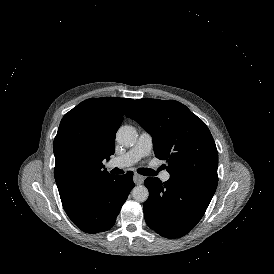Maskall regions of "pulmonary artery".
Masks as SVG:
<instances>
[{
  "instance_id": "obj_1",
  "label": "pulmonary artery",
  "mask_w": 274,
  "mask_h": 274,
  "mask_svg": "<svg viewBox=\"0 0 274 274\" xmlns=\"http://www.w3.org/2000/svg\"><path fill=\"white\" fill-rule=\"evenodd\" d=\"M153 146V140L150 134L146 132H141L136 144L129 149L124 155L120 157H116L111 160L108 164V168H126L129 167L142 158L150 155ZM170 178V174L167 171L162 172L161 180L163 182L168 181Z\"/></svg>"
}]
</instances>
